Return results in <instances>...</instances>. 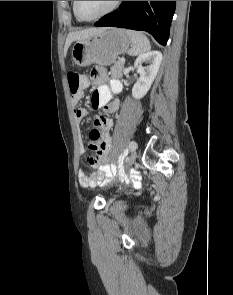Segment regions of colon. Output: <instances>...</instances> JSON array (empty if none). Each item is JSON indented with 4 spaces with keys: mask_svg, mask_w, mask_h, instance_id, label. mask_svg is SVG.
<instances>
[{
    "mask_svg": "<svg viewBox=\"0 0 233 295\" xmlns=\"http://www.w3.org/2000/svg\"><path fill=\"white\" fill-rule=\"evenodd\" d=\"M68 84L72 95L83 92L90 84L89 80L83 75L70 72L68 74ZM101 134L98 128H94L88 135V148L93 156L89 158L91 163L95 162L96 158L101 155Z\"/></svg>",
    "mask_w": 233,
    "mask_h": 295,
    "instance_id": "1",
    "label": "colon"
}]
</instances>
